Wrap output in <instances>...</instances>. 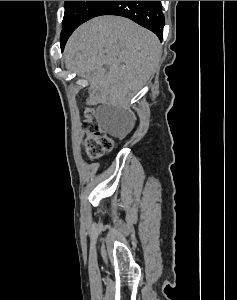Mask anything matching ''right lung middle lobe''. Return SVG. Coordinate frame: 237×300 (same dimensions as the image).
Here are the masks:
<instances>
[{
  "mask_svg": "<svg viewBox=\"0 0 237 300\" xmlns=\"http://www.w3.org/2000/svg\"><path fill=\"white\" fill-rule=\"evenodd\" d=\"M110 1H65V13L60 36L63 49L69 36L82 23L97 16Z\"/></svg>",
  "mask_w": 237,
  "mask_h": 300,
  "instance_id": "right-lung-middle-lobe-1",
  "label": "right lung middle lobe"
}]
</instances>
